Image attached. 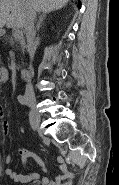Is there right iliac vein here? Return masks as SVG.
Returning a JSON list of instances; mask_svg holds the SVG:
<instances>
[{
  "instance_id": "1",
  "label": "right iliac vein",
  "mask_w": 119,
  "mask_h": 185,
  "mask_svg": "<svg viewBox=\"0 0 119 185\" xmlns=\"http://www.w3.org/2000/svg\"><path fill=\"white\" fill-rule=\"evenodd\" d=\"M28 106L31 108V113H35L36 114L34 116V118L36 119L35 120L36 124H33V125L36 127V129L38 131L41 132V129H40L41 115H40V113H39V111H38V109L36 107V101H35L34 98H29L28 99ZM30 118H31V116H30Z\"/></svg>"
}]
</instances>
